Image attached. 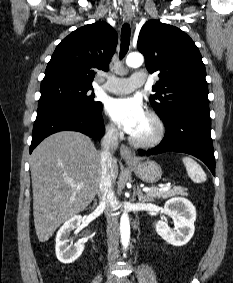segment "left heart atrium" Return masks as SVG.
I'll return each instance as SVG.
<instances>
[{"instance_id": "obj_1", "label": "left heart atrium", "mask_w": 233, "mask_h": 283, "mask_svg": "<svg viewBox=\"0 0 233 283\" xmlns=\"http://www.w3.org/2000/svg\"><path fill=\"white\" fill-rule=\"evenodd\" d=\"M106 111L119 127L131 135L146 115L141 100L136 97L110 99Z\"/></svg>"}]
</instances>
